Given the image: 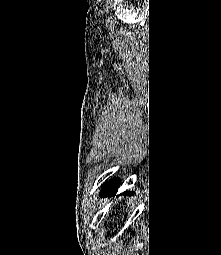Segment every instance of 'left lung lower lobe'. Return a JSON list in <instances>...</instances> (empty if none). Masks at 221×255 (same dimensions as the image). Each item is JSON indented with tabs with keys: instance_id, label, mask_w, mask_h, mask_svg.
<instances>
[{
	"instance_id": "0a47b994",
	"label": "left lung lower lobe",
	"mask_w": 221,
	"mask_h": 255,
	"mask_svg": "<svg viewBox=\"0 0 221 255\" xmlns=\"http://www.w3.org/2000/svg\"><path fill=\"white\" fill-rule=\"evenodd\" d=\"M120 186V181L118 179H112L110 181H106L101 189L100 195H112L117 191V188ZM129 194V193H126Z\"/></svg>"
}]
</instances>
